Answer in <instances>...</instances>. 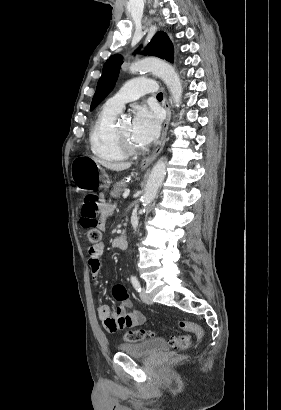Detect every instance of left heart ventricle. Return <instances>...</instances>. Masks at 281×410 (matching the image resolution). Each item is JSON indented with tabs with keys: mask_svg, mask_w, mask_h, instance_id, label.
I'll use <instances>...</instances> for the list:
<instances>
[{
	"mask_svg": "<svg viewBox=\"0 0 281 410\" xmlns=\"http://www.w3.org/2000/svg\"><path fill=\"white\" fill-rule=\"evenodd\" d=\"M118 129L121 132V134L125 136L126 138H128L133 145L139 147V145L132 138V133H131L132 127L130 123H123L122 125L118 127Z\"/></svg>",
	"mask_w": 281,
	"mask_h": 410,
	"instance_id": "obj_1",
	"label": "left heart ventricle"
}]
</instances>
